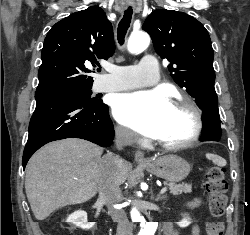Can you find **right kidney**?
Wrapping results in <instances>:
<instances>
[{
  "mask_svg": "<svg viewBox=\"0 0 250 235\" xmlns=\"http://www.w3.org/2000/svg\"><path fill=\"white\" fill-rule=\"evenodd\" d=\"M67 222L80 227L82 229H90L94 226V223L87 221V213L82 210H78L68 216Z\"/></svg>",
  "mask_w": 250,
  "mask_h": 235,
  "instance_id": "1",
  "label": "right kidney"
}]
</instances>
